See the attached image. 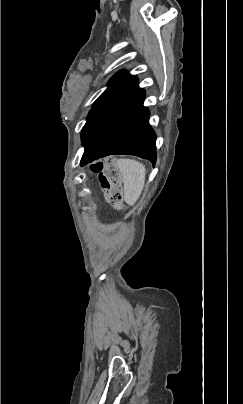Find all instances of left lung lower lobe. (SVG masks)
I'll list each match as a JSON object with an SVG mask.
<instances>
[{
	"mask_svg": "<svg viewBox=\"0 0 243 404\" xmlns=\"http://www.w3.org/2000/svg\"><path fill=\"white\" fill-rule=\"evenodd\" d=\"M144 98V90L138 88L98 118L83 142L81 166L112 154L136 155L155 165L156 134Z\"/></svg>",
	"mask_w": 243,
	"mask_h": 404,
	"instance_id": "0a47b994",
	"label": "left lung lower lobe"
}]
</instances>
